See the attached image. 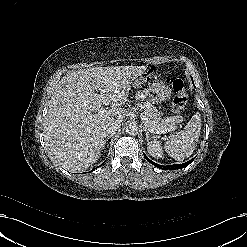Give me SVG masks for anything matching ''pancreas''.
<instances>
[{
	"instance_id": "1",
	"label": "pancreas",
	"mask_w": 247,
	"mask_h": 247,
	"mask_svg": "<svg viewBox=\"0 0 247 247\" xmlns=\"http://www.w3.org/2000/svg\"><path fill=\"white\" fill-rule=\"evenodd\" d=\"M137 107L148 118L147 127L153 130L154 133H160L163 129H168L175 126L177 121L182 119H176L173 117L163 119L162 113L158 111L151 103L144 102L137 104Z\"/></svg>"
}]
</instances>
